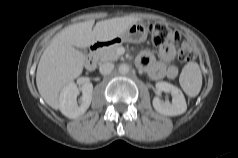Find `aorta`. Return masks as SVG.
Wrapping results in <instances>:
<instances>
[{"label": "aorta", "instance_id": "aorta-1", "mask_svg": "<svg viewBox=\"0 0 238 158\" xmlns=\"http://www.w3.org/2000/svg\"><path fill=\"white\" fill-rule=\"evenodd\" d=\"M119 72L121 74H127L129 72V66L127 64H121L119 66Z\"/></svg>", "mask_w": 238, "mask_h": 158}]
</instances>
